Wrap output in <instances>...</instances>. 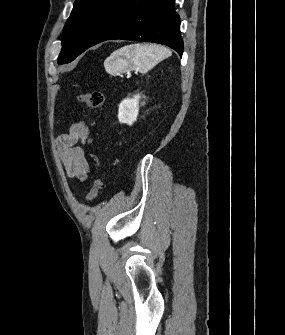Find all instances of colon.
I'll return each instance as SVG.
<instances>
[{
	"label": "colon",
	"mask_w": 285,
	"mask_h": 335,
	"mask_svg": "<svg viewBox=\"0 0 285 335\" xmlns=\"http://www.w3.org/2000/svg\"><path fill=\"white\" fill-rule=\"evenodd\" d=\"M78 101L84 103L90 111L98 110L102 107L105 101V96L101 92H83L77 97ZM103 184L98 176H94L91 189L87 195L88 202L92 203L98 197Z\"/></svg>",
	"instance_id": "1"
}]
</instances>
